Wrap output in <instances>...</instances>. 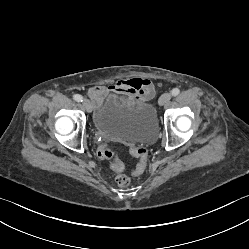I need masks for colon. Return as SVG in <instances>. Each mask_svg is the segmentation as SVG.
<instances>
[{"label": "colon", "instance_id": "colon-1", "mask_svg": "<svg viewBox=\"0 0 249 249\" xmlns=\"http://www.w3.org/2000/svg\"><path fill=\"white\" fill-rule=\"evenodd\" d=\"M132 153H133V155H135L139 159V162H138L133 174L135 176H139L146 169L148 149H147V147H145L143 145L136 146L132 149ZM98 154L101 158L112 160L111 167L116 172H121L123 170L122 162H120L119 160L116 159L117 151L115 148L110 147V146H102V147H100ZM115 181H116V184L118 186L126 187L130 183V178L124 174H119V175H117Z\"/></svg>", "mask_w": 249, "mask_h": 249}]
</instances>
